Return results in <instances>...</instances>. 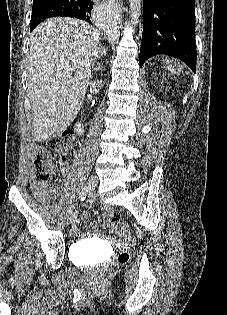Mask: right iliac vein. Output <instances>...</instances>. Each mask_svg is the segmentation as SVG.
I'll return each mask as SVG.
<instances>
[{
	"instance_id": "1",
	"label": "right iliac vein",
	"mask_w": 227,
	"mask_h": 315,
	"mask_svg": "<svg viewBox=\"0 0 227 315\" xmlns=\"http://www.w3.org/2000/svg\"><path fill=\"white\" fill-rule=\"evenodd\" d=\"M97 183H98V180L96 176H91L87 182L88 190L93 191L96 188ZM75 219H76V213L68 217L67 224H72L75 221Z\"/></svg>"
}]
</instances>
